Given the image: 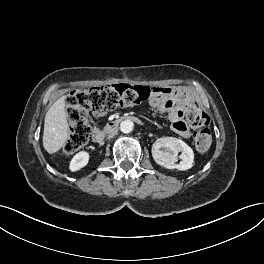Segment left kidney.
Masks as SVG:
<instances>
[{"label": "left kidney", "instance_id": "1", "mask_svg": "<svg viewBox=\"0 0 264 264\" xmlns=\"http://www.w3.org/2000/svg\"><path fill=\"white\" fill-rule=\"evenodd\" d=\"M181 152L178 161V153ZM155 162L167 169L185 171L192 168L194 152L184 141L174 137H163L156 140L152 147Z\"/></svg>", "mask_w": 264, "mask_h": 264}]
</instances>
